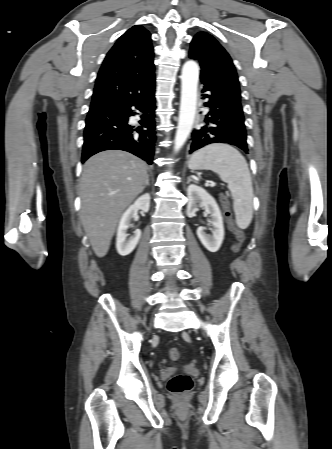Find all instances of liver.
I'll return each instance as SVG.
<instances>
[{
    "instance_id": "obj_1",
    "label": "liver",
    "mask_w": 332,
    "mask_h": 449,
    "mask_svg": "<svg viewBox=\"0 0 332 449\" xmlns=\"http://www.w3.org/2000/svg\"><path fill=\"white\" fill-rule=\"evenodd\" d=\"M146 181L145 162L130 153L108 150L86 161L79 185L80 217L96 256L107 254L122 213Z\"/></svg>"
}]
</instances>
